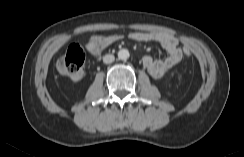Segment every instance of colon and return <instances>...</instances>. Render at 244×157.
Listing matches in <instances>:
<instances>
[{
	"instance_id": "5ec220e1",
	"label": "colon",
	"mask_w": 244,
	"mask_h": 157,
	"mask_svg": "<svg viewBox=\"0 0 244 157\" xmlns=\"http://www.w3.org/2000/svg\"><path fill=\"white\" fill-rule=\"evenodd\" d=\"M119 39L118 35L109 36H93L87 43L88 50H100ZM185 57L191 56V50L188 47L183 49ZM85 52L81 46L77 44L71 45L66 53L56 61V70L59 74L68 77L74 81L81 80L85 75Z\"/></svg>"
}]
</instances>
